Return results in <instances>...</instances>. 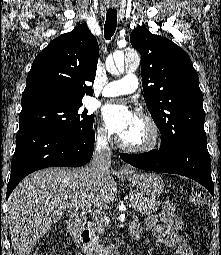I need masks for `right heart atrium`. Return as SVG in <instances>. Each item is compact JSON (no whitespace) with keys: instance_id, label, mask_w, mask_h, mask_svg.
<instances>
[{"instance_id":"obj_1","label":"right heart atrium","mask_w":221,"mask_h":255,"mask_svg":"<svg viewBox=\"0 0 221 255\" xmlns=\"http://www.w3.org/2000/svg\"><path fill=\"white\" fill-rule=\"evenodd\" d=\"M108 142V134L104 127L100 126L96 132V143L99 146H105Z\"/></svg>"}]
</instances>
